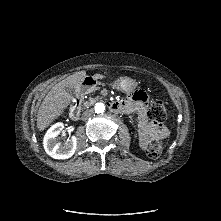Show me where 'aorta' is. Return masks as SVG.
Returning <instances> with one entry per match:
<instances>
[{
  "label": "aorta",
  "mask_w": 221,
  "mask_h": 221,
  "mask_svg": "<svg viewBox=\"0 0 221 221\" xmlns=\"http://www.w3.org/2000/svg\"><path fill=\"white\" fill-rule=\"evenodd\" d=\"M105 111V105L103 103H97L95 105V112L96 113H103Z\"/></svg>",
  "instance_id": "1"
}]
</instances>
